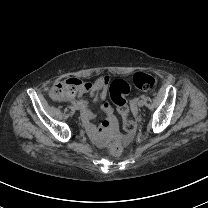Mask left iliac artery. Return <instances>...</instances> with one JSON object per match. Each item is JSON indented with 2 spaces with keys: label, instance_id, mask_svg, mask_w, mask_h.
I'll return each mask as SVG.
<instances>
[{
  "label": "left iliac artery",
  "instance_id": "44dca946",
  "mask_svg": "<svg viewBox=\"0 0 208 208\" xmlns=\"http://www.w3.org/2000/svg\"><path fill=\"white\" fill-rule=\"evenodd\" d=\"M141 98L144 99L145 98V95H141Z\"/></svg>",
  "mask_w": 208,
  "mask_h": 208
}]
</instances>
